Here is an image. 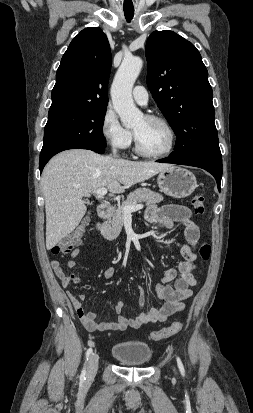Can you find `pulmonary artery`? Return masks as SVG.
<instances>
[{
	"mask_svg": "<svg viewBox=\"0 0 253 413\" xmlns=\"http://www.w3.org/2000/svg\"><path fill=\"white\" fill-rule=\"evenodd\" d=\"M133 99L139 105H147L148 103V92L143 86H136L133 90Z\"/></svg>",
	"mask_w": 253,
	"mask_h": 413,
	"instance_id": "obj_1",
	"label": "pulmonary artery"
}]
</instances>
